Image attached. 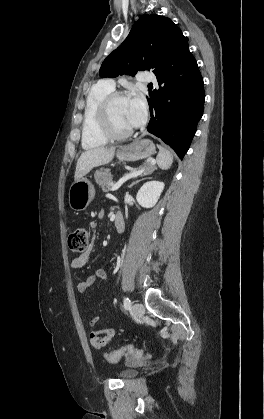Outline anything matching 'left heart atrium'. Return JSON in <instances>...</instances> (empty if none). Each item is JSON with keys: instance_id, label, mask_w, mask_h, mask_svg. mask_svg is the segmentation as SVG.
<instances>
[{"instance_id": "obj_1", "label": "left heart atrium", "mask_w": 264, "mask_h": 419, "mask_svg": "<svg viewBox=\"0 0 264 419\" xmlns=\"http://www.w3.org/2000/svg\"><path fill=\"white\" fill-rule=\"evenodd\" d=\"M126 115L132 127L141 126L145 122L147 107L141 94L133 93L126 99Z\"/></svg>"}]
</instances>
